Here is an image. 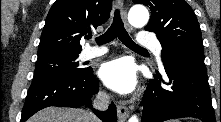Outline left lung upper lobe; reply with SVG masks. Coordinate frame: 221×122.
Instances as JSON below:
<instances>
[{
	"mask_svg": "<svg viewBox=\"0 0 221 122\" xmlns=\"http://www.w3.org/2000/svg\"><path fill=\"white\" fill-rule=\"evenodd\" d=\"M151 10L145 30L155 32L162 46V61L186 57L204 61L200 26L185 0H133Z\"/></svg>",
	"mask_w": 221,
	"mask_h": 122,
	"instance_id": "5c2ea615",
	"label": "left lung upper lobe"
}]
</instances>
